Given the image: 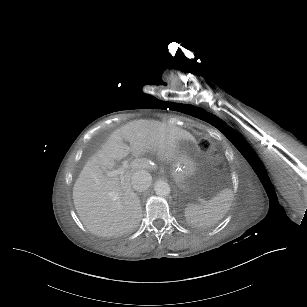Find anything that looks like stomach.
Returning a JSON list of instances; mask_svg holds the SVG:
<instances>
[{"instance_id": "0dacf381", "label": "stomach", "mask_w": 307, "mask_h": 307, "mask_svg": "<svg viewBox=\"0 0 307 307\" xmlns=\"http://www.w3.org/2000/svg\"><path fill=\"white\" fill-rule=\"evenodd\" d=\"M200 155L201 151L196 143L189 141L181 143L172 169V175L179 188L186 190L193 185Z\"/></svg>"}]
</instances>
